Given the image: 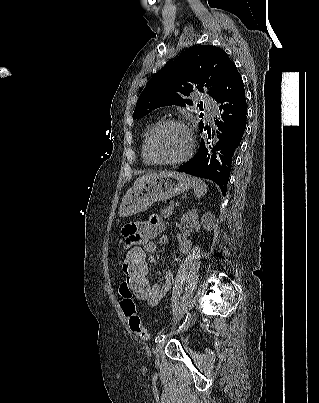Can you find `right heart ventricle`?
<instances>
[{
	"mask_svg": "<svg viewBox=\"0 0 319 403\" xmlns=\"http://www.w3.org/2000/svg\"><path fill=\"white\" fill-rule=\"evenodd\" d=\"M157 124H158L157 122H152L147 126V128L145 130V133H144L143 140H142L141 154H142V159H143L144 163L147 164V165L155 164L148 156V153H147V140H148V137H149L151 131L153 130V128Z\"/></svg>",
	"mask_w": 319,
	"mask_h": 403,
	"instance_id": "e07e8e85",
	"label": "right heart ventricle"
}]
</instances>
